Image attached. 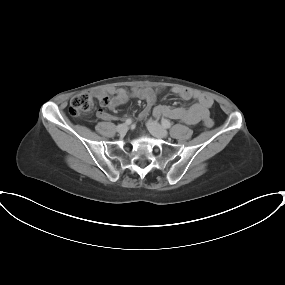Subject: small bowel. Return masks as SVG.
<instances>
[{
	"instance_id": "1",
	"label": "small bowel",
	"mask_w": 285,
	"mask_h": 285,
	"mask_svg": "<svg viewBox=\"0 0 285 285\" xmlns=\"http://www.w3.org/2000/svg\"><path fill=\"white\" fill-rule=\"evenodd\" d=\"M173 93L178 95L183 100H196V103L190 107H170L167 105L154 106L157 98V92L149 87L134 86L130 89L125 88H109L104 90L96 88L93 94L101 99L107 95V92L113 95L108 105L110 108L119 107L127 103L130 99L137 98L146 101V106L139 113L138 120L142 121L152 111L155 117H168L170 119L181 120L187 124H196L209 116L210 108L213 105V100L210 96L198 91H190L181 88H174ZM97 116L103 120H109L111 115L103 110L98 111Z\"/></svg>"
}]
</instances>
